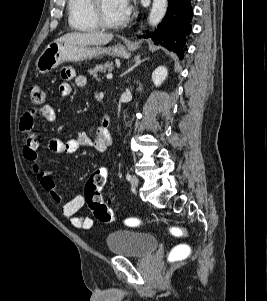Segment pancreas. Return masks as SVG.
Instances as JSON below:
<instances>
[{
  "label": "pancreas",
  "instance_id": "obj_1",
  "mask_svg": "<svg viewBox=\"0 0 267 301\" xmlns=\"http://www.w3.org/2000/svg\"><path fill=\"white\" fill-rule=\"evenodd\" d=\"M106 70H113V63L107 62L105 64H98L95 67L91 68L89 70L90 75L97 79L98 81L100 80L99 73L105 72Z\"/></svg>",
  "mask_w": 267,
  "mask_h": 301
}]
</instances>
